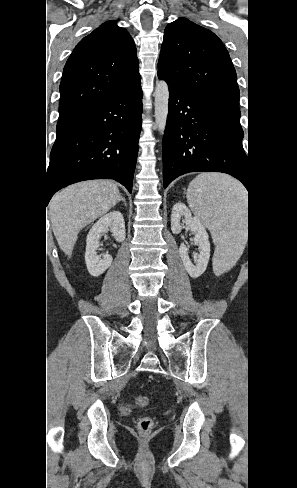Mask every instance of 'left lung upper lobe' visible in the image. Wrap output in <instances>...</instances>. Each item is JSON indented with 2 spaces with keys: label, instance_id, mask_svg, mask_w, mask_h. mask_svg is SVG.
I'll use <instances>...</instances> for the list:
<instances>
[{
  "label": "left lung upper lobe",
  "instance_id": "left-lung-upper-lobe-1",
  "mask_svg": "<svg viewBox=\"0 0 297 488\" xmlns=\"http://www.w3.org/2000/svg\"><path fill=\"white\" fill-rule=\"evenodd\" d=\"M158 76L199 103L240 121L237 76L225 46L185 18L165 28Z\"/></svg>",
  "mask_w": 297,
  "mask_h": 488
}]
</instances>
